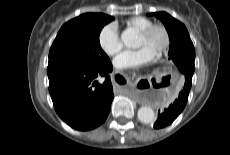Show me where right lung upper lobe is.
<instances>
[{
  "label": "right lung upper lobe",
  "mask_w": 230,
  "mask_h": 155,
  "mask_svg": "<svg viewBox=\"0 0 230 155\" xmlns=\"http://www.w3.org/2000/svg\"><path fill=\"white\" fill-rule=\"evenodd\" d=\"M97 16H99V13H86V14H82L79 17H76V18L68 21L63 26H69V25H73V24L84 23V22H87V21H89V20L97 17Z\"/></svg>",
  "instance_id": "1"
}]
</instances>
